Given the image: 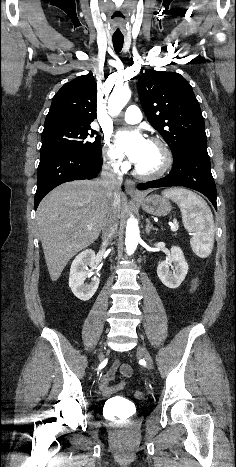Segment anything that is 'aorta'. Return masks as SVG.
I'll list each match as a JSON object with an SVG mask.
<instances>
[{
    "mask_svg": "<svg viewBox=\"0 0 236 467\" xmlns=\"http://www.w3.org/2000/svg\"><path fill=\"white\" fill-rule=\"evenodd\" d=\"M131 98V90L128 87L115 88L108 100V111L112 116L118 115ZM140 240L137 220L130 217L126 225L125 245L126 252L131 255L135 252Z\"/></svg>",
    "mask_w": 236,
    "mask_h": 467,
    "instance_id": "1",
    "label": "aorta"
}]
</instances>
